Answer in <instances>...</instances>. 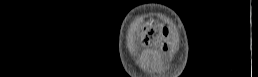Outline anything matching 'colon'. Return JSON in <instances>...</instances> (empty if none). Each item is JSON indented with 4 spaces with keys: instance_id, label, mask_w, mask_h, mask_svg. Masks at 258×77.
Returning a JSON list of instances; mask_svg holds the SVG:
<instances>
[{
    "instance_id": "1",
    "label": "colon",
    "mask_w": 258,
    "mask_h": 77,
    "mask_svg": "<svg viewBox=\"0 0 258 77\" xmlns=\"http://www.w3.org/2000/svg\"><path fill=\"white\" fill-rule=\"evenodd\" d=\"M160 33V26L154 24L153 22H149L143 29V39L146 42H152L159 36Z\"/></svg>"
}]
</instances>
